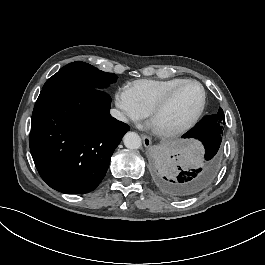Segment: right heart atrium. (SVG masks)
<instances>
[{"label": "right heart atrium", "instance_id": "obj_1", "mask_svg": "<svg viewBox=\"0 0 265 265\" xmlns=\"http://www.w3.org/2000/svg\"><path fill=\"white\" fill-rule=\"evenodd\" d=\"M113 118L120 126L142 125L146 113L138 110L133 101V94L126 86L119 87L113 99Z\"/></svg>", "mask_w": 265, "mask_h": 265}]
</instances>
